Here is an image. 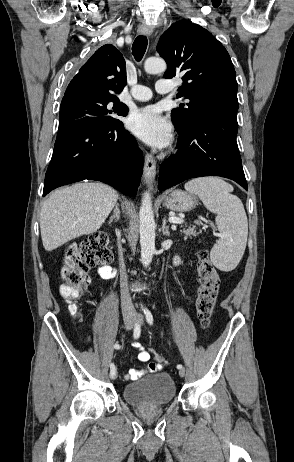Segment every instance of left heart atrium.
Wrapping results in <instances>:
<instances>
[{"label": "left heart atrium", "mask_w": 294, "mask_h": 462, "mask_svg": "<svg viewBox=\"0 0 294 462\" xmlns=\"http://www.w3.org/2000/svg\"><path fill=\"white\" fill-rule=\"evenodd\" d=\"M131 132L148 145L166 147L172 139V126L156 106L150 105L134 111L128 119Z\"/></svg>", "instance_id": "39dd6f15"}]
</instances>
